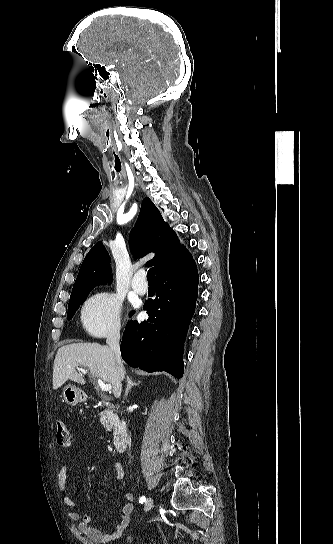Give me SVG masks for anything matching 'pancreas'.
I'll use <instances>...</instances> for the list:
<instances>
[{
	"instance_id": "cf45deb5",
	"label": "pancreas",
	"mask_w": 333,
	"mask_h": 544,
	"mask_svg": "<svg viewBox=\"0 0 333 544\" xmlns=\"http://www.w3.org/2000/svg\"><path fill=\"white\" fill-rule=\"evenodd\" d=\"M100 422L103 424L104 428L107 431H110L112 429V418H113V412L112 411H103L100 414Z\"/></svg>"
}]
</instances>
